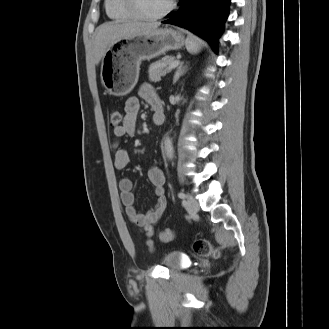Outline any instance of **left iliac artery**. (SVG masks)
Returning <instances> with one entry per match:
<instances>
[{"instance_id": "1", "label": "left iliac artery", "mask_w": 329, "mask_h": 329, "mask_svg": "<svg viewBox=\"0 0 329 329\" xmlns=\"http://www.w3.org/2000/svg\"><path fill=\"white\" fill-rule=\"evenodd\" d=\"M178 197H179L180 199H185V198H186V194H185L184 192H179V193H178Z\"/></svg>"}]
</instances>
